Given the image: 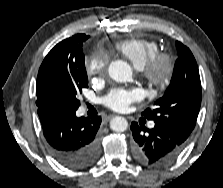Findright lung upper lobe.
I'll return each instance as SVG.
<instances>
[{
  "instance_id": "cb5924a9",
  "label": "right lung upper lobe",
  "mask_w": 223,
  "mask_h": 188,
  "mask_svg": "<svg viewBox=\"0 0 223 188\" xmlns=\"http://www.w3.org/2000/svg\"><path fill=\"white\" fill-rule=\"evenodd\" d=\"M83 34L74 35L68 39L63 40L62 42L58 43L45 57L43 63L40 66L42 70L45 66L55 63V61L61 58L69 59L72 57L75 42L82 36ZM39 69V70H40ZM38 109H43L38 107Z\"/></svg>"
}]
</instances>
